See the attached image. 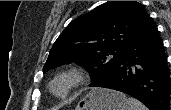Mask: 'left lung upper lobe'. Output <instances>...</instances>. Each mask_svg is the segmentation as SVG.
<instances>
[{
    "label": "left lung upper lobe",
    "instance_id": "left-lung-upper-lobe-1",
    "mask_svg": "<svg viewBox=\"0 0 171 110\" xmlns=\"http://www.w3.org/2000/svg\"><path fill=\"white\" fill-rule=\"evenodd\" d=\"M150 19L135 1H108L73 20L53 44L43 73L75 62L90 73L92 85L117 66L128 46L140 36Z\"/></svg>",
    "mask_w": 171,
    "mask_h": 110
}]
</instances>
